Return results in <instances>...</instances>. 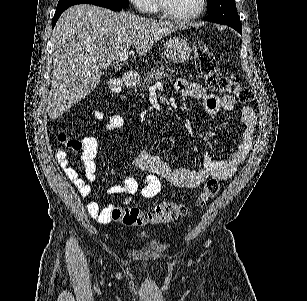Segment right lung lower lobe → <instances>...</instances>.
Here are the masks:
<instances>
[{"instance_id": "98d812e1", "label": "right lung lower lobe", "mask_w": 307, "mask_h": 301, "mask_svg": "<svg viewBox=\"0 0 307 301\" xmlns=\"http://www.w3.org/2000/svg\"><path fill=\"white\" fill-rule=\"evenodd\" d=\"M89 4H94V5H97V6H101V7H105V8H108V9H111L113 11H120L122 10L123 7H120L118 5H114V4H104V3H89ZM69 8V7H68ZM67 8H64V9H60V10H56L55 14H54V17H53V20H52V26L54 27L57 20L59 19L60 15L66 10Z\"/></svg>"}]
</instances>
